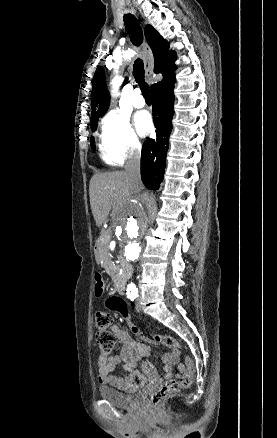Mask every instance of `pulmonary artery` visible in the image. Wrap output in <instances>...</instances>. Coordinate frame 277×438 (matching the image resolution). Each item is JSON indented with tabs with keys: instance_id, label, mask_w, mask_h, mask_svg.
<instances>
[{
	"instance_id": "obj_1",
	"label": "pulmonary artery",
	"mask_w": 277,
	"mask_h": 438,
	"mask_svg": "<svg viewBox=\"0 0 277 438\" xmlns=\"http://www.w3.org/2000/svg\"><path fill=\"white\" fill-rule=\"evenodd\" d=\"M132 94L134 96H136L132 100L134 107L139 108V109L145 107V104H146L145 100L142 97H140V96H143V94H144L143 87H134L132 89Z\"/></svg>"
}]
</instances>
